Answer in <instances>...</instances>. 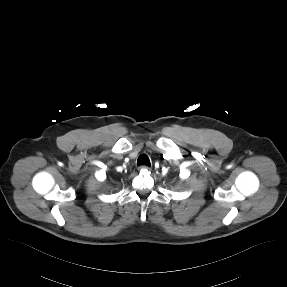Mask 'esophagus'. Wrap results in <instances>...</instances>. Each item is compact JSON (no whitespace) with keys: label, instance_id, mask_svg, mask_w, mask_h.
Masks as SVG:
<instances>
[{"label":"esophagus","instance_id":"esophagus-1","mask_svg":"<svg viewBox=\"0 0 287 287\" xmlns=\"http://www.w3.org/2000/svg\"><path fill=\"white\" fill-rule=\"evenodd\" d=\"M139 170H142V169H147V170H150L151 167L147 166V165H142V166H139L138 168Z\"/></svg>","mask_w":287,"mask_h":287}]
</instances>
